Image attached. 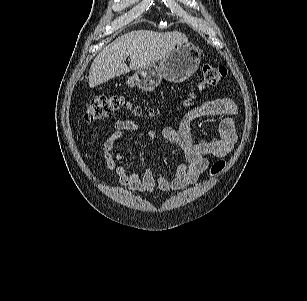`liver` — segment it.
<instances>
[{
  "label": "liver",
  "mask_w": 307,
  "mask_h": 301,
  "mask_svg": "<svg viewBox=\"0 0 307 301\" xmlns=\"http://www.w3.org/2000/svg\"><path fill=\"white\" fill-rule=\"evenodd\" d=\"M187 41L186 35L176 31L158 33L138 30L126 33L107 45L94 59L89 71V87L154 64L175 45ZM129 56L131 61L128 67L125 60Z\"/></svg>",
  "instance_id": "liver-1"
}]
</instances>
